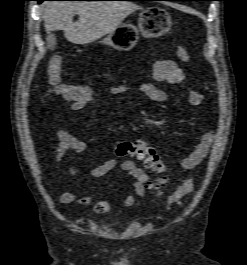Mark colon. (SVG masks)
Listing matches in <instances>:
<instances>
[{"label":"colon","instance_id":"colon-1","mask_svg":"<svg viewBox=\"0 0 247 265\" xmlns=\"http://www.w3.org/2000/svg\"><path fill=\"white\" fill-rule=\"evenodd\" d=\"M176 54L184 62H188L190 59L188 49L184 45L177 47ZM62 68V56L59 54L52 56L47 68V80L59 98L72 103L81 102L87 105L102 101L98 92L90 86L65 83L62 79ZM114 154L118 158H137L144 167L150 169L156 175L157 178L150 184V187L159 192V188L165 183L164 173L166 172V167L159 153L151 145L140 140L122 141L115 147ZM193 188L194 182L192 179L184 181L169 196L168 207L179 204L181 199L188 195Z\"/></svg>","mask_w":247,"mask_h":265}]
</instances>
